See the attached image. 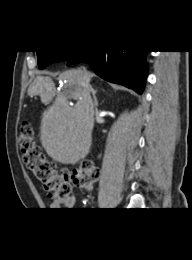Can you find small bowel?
Instances as JSON below:
<instances>
[{"instance_id":"small-bowel-1","label":"small bowel","mask_w":192,"mask_h":260,"mask_svg":"<svg viewBox=\"0 0 192 260\" xmlns=\"http://www.w3.org/2000/svg\"><path fill=\"white\" fill-rule=\"evenodd\" d=\"M74 205H75V196L73 193H71V195L66 199L53 200L52 203L50 204V209L51 210H61V209L70 210L74 207Z\"/></svg>"}]
</instances>
